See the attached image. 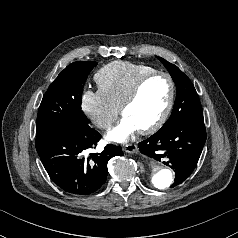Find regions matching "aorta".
Wrapping results in <instances>:
<instances>
[{
    "instance_id": "1",
    "label": "aorta",
    "mask_w": 238,
    "mask_h": 238,
    "mask_svg": "<svg viewBox=\"0 0 238 238\" xmlns=\"http://www.w3.org/2000/svg\"><path fill=\"white\" fill-rule=\"evenodd\" d=\"M149 169L151 171V181L157 189H167L173 182V173L171 170L161 167L154 160H149Z\"/></svg>"
}]
</instances>
